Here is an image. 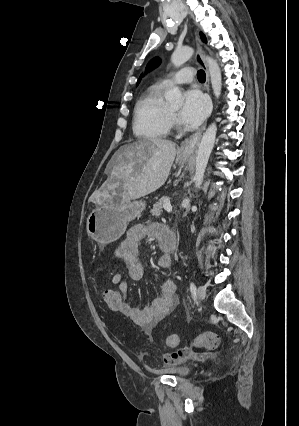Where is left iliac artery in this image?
Listing matches in <instances>:
<instances>
[{"instance_id": "44dca946", "label": "left iliac artery", "mask_w": 299, "mask_h": 426, "mask_svg": "<svg viewBox=\"0 0 299 426\" xmlns=\"http://www.w3.org/2000/svg\"><path fill=\"white\" fill-rule=\"evenodd\" d=\"M190 291L192 293L193 298L196 297V286L193 282L190 283Z\"/></svg>"}]
</instances>
